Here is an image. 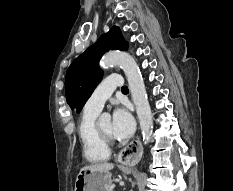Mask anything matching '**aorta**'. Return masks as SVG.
I'll list each match as a JSON object with an SVG mask.
<instances>
[{"instance_id":"1","label":"aorta","mask_w":233,"mask_h":191,"mask_svg":"<svg viewBox=\"0 0 233 191\" xmlns=\"http://www.w3.org/2000/svg\"><path fill=\"white\" fill-rule=\"evenodd\" d=\"M101 65L104 68L117 65L123 69L128 80L132 100L136 107L143 141L145 144H148L152 136L153 115L138 64L135 59L126 52L111 51L104 55L101 60ZM102 117L108 118L109 116L105 114L102 115Z\"/></svg>"}]
</instances>
